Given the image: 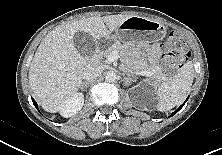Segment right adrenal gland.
I'll return each mask as SVG.
<instances>
[{"label":"right adrenal gland","mask_w":222,"mask_h":155,"mask_svg":"<svg viewBox=\"0 0 222 155\" xmlns=\"http://www.w3.org/2000/svg\"><path fill=\"white\" fill-rule=\"evenodd\" d=\"M88 85H89V82H83L82 84H81V86H80V89L82 90V89H87V87H88Z\"/></svg>","instance_id":"1"}]
</instances>
